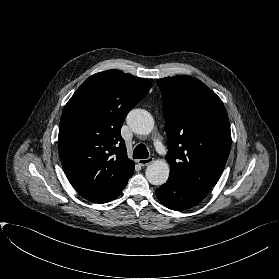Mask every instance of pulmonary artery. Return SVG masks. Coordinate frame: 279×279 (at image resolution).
I'll return each mask as SVG.
<instances>
[{
	"instance_id": "e3ab8cb5",
	"label": "pulmonary artery",
	"mask_w": 279,
	"mask_h": 279,
	"mask_svg": "<svg viewBox=\"0 0 279 279\" xmlns=\"http://www.w3.org/2000/svg\"><path fill=\"white\" fill-rule=\"evenodd\" d=\"M154 145L157 149L161 148V146H162L159 141H156Z\"/></svg>"
}]
</instances>
